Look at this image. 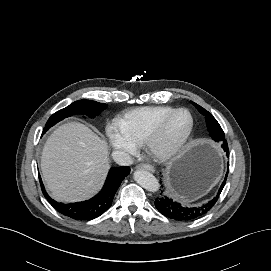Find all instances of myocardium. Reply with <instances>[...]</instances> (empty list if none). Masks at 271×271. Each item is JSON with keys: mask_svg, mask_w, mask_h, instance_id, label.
I'll use <instances>...</instances> for the list:
<instances>
[{"mask_svg": "<svg viewBox=\"0 0 271 271\" xmlns=\"http://www.w3.org/2000/svg\"><path fill=\"white\" fill-rule=\"evenodd\" d=\"M185 112L190 117V127L186 135L179 141L173 144H164L161 142L165 137L167 129L173 120V118L181 113ZM195 128V119L192 112L187 108H178L172 111L147 137L144 141V149L146 153L155 160L168 161L177 155H179L188 143L191 141Z\"/></svg>", "mask_w": 271, "mask_h": 271, "instance_id": "f54148a6", "label": "myocardium"}]
</instances>
